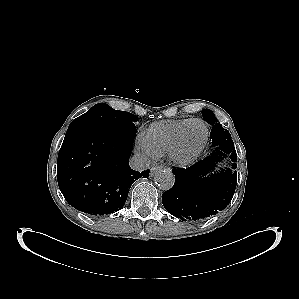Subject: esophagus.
Here are the masks:
<instances>
[{
  "label": "esophagus",
  "instance_id": "esophagus-1",
  "mask_svg": "<svg viewBox=\"0 0 299 299\" xmlns=\"http://www.w3.org/2000/svg\"><path fill=\"white\" fill-rule=\"evenodd\" d=\"M163 169V166L161 165H154L150 169V176H153L157 171H160Z\"/></svg>",
  "mask_w": 299,
  "mask_h": 299
}]
</instances>
